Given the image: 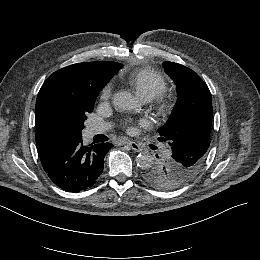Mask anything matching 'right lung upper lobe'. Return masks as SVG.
Returning a JSON list of instances; mask_svg holds the SVG:
<instances>
[{
	"instance_id": "1",
	"label": "right lung upper lobe",
	"mask_w": 260,
	"mask_h": 260,
	"mask_svg": "<svg viewBox=\"0 0 260 260\" xmlns=\"http://www.w3.org/2000/svg\"><path fill=\"white\" fill-rule=\"evenodd\" d=\"M122 67L116 62H83L62 68L43 83L36 100V146L41 162L52 157L63 145L80 138L58 124V107L86 88H103Z\"/></svg>"
}]
</instances>
